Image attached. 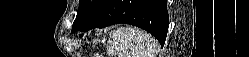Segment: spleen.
<instances>
[{"instance_id": "3e777b00", "label": "spleen", "mask_w": 249, "mask_h": 57, "mask_svg": "<svg viewBox=\"0 0 249 57\" xmlns=\"http://www.w3.org/2000/svg\"><path fill=\"white\" fill-rule=\"evenodd\" d=\"M110 48L121 57H154L156 41L146 32L132 27H120L110 33ZM111 50V49H110Z\"/></svg>"}]
</instances>
